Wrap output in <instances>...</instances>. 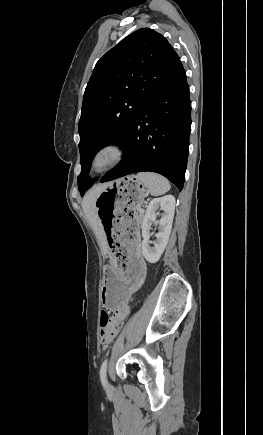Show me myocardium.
Here are the masks:
<instances>
[{"label": "myocardium", "instance_id": "1", "mask_svg": "<svg viewBox=\"0 0 263 435\" xmlns=\"http://www.w3.org/2000/svg\"><path fill=\"white\" fill-rule=\"evenodd\" d=\"M105 154L110 155V160L102 167L97 166L98 160ZM125 158L124 147L116 141H106L100 144L92 153L89 168L94 174H104L119 166Z\"/></svg>", "mask_w": 263, "mask_h": 435}]
</instances>
